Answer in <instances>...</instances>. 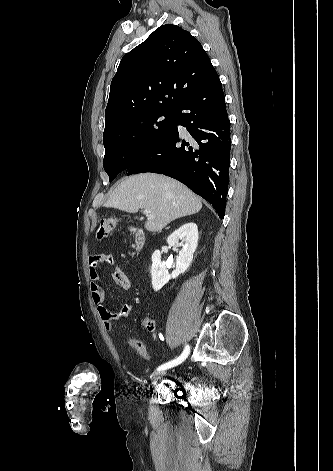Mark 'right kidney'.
<instances>
[{"instance_id": "1", "label": "right kidney", "mask_w": 333, "mask_h": 471, "mask_svg": "<svg viewBox=\"0 0 333 471\" xmlns=\"http://www.w3.org/2000/svg\"><path fill=\"white\" fill-rule=\"evenodd\" d=\"M179 240H182L179 243ZM170 246L180 245L182 249L176 260V269L169 274L165 265L161 262V252L156 250L152 255V287L154 291H159L170 279H175L189 268L193 254L198 245V227L195 223L189 222L175 230L167 239Z\"/></svg>"}]
</instances>
